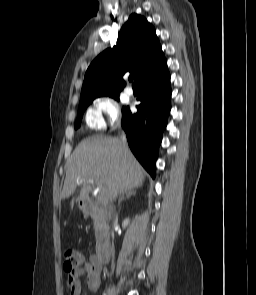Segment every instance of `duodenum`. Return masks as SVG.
<instances>
[{"mask_svg":"<svg viewBox=\"0 0 256 295\" xmlns=\"http://www.w3.org/2000/svg\"><path fill=\"white\" fill-rule=\"evenodd\" d=\"M82 211L95 219H100L101 215L98 213L97 209L88 200H82L80 203ZM96 259L99 263L105 264L110 259V246L105 238H100L98 240L97 249L95 253Z\"/></svg>","mask_w":256,"mask_h":295,"instance_id":"obj_1","label":"duodenum"}]
</instances>
